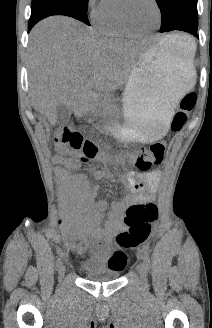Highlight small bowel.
<instances>
[{
  "mask_svg": "<svg viewBox=\"0 0 212 328\" xmlns=\"http://www.w3.org/2000/svg\"><path fill=\"white\" fill-rule=\"evenodd\" d=\"M53 161L58 165L56 173L61 181L67 185L66 199L69 202L82 206L85 214L77 218L83 229L81 237L82 245L91 247L93 245H103L111 237L126 229V211L132 205L150 201L153 199L152 193L155 186L161 180V172L157 169L146 172H130L126 175L118 170H112L111 173H102L96 170L91 173L90 181L85 175H70L65 168L78 169L79 163L74 157L65 158L61 155L53 157ZM120 181L124 193L119 199L109 203L107 200L97 198L99 186L95 182L99 181ZM96 255L104 260L105 255L97 250ZM109 268L120 271L125 266L111 265Z\"/></svg>",
  "mask_w": 212,
  "mask_h": 328,
  "instance_id": "obj_1",
  "label": "small bowel"
}]
</instances>
